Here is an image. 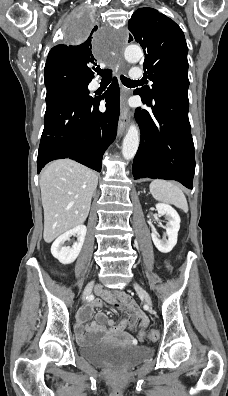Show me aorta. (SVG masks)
Returning a JSON list of instances; mask_svg holds the SVG:
<instances>
[{
  "label": "aorta",
  "mask_w": 228,
  "mask_h": 396,
  "mask_svg": "<svg viewBox=\"0 0 228 396\" xmlns=\"http://www.w3.org/2000/svg\"><path fill=\"white\" fill-rule=\"evenodd\" d=\"M143 53L138 46H127L124 50L125 59L129 62H137L141 59ZM139 146V131L138 128L131 124L126 136L123 140L122 155L126 160L132 159Z\"/></svg>",
  "instance_id": "obj_1"
}]
</instances>
